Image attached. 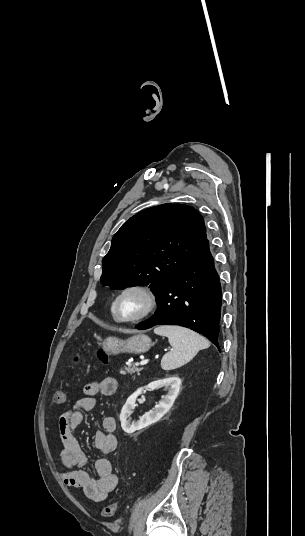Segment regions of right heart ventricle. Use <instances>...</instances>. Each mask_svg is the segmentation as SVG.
<instances>
[{"instance_id":"right-heart-ventricle-1","label":"right heart ventricle","mask_w":305,"mask_h":536,"mask_svg":"<svg viewBox=\"0 0 305 536\" xmlns=\"http://www.w3.org/2000/svg\"><path fill=\"white\" fill-rule=\"evenodd\" d=\"M111 318H112V320L115 322L114 317H113V315H112V311H111Z\"/></svg>"}]
</instances>
